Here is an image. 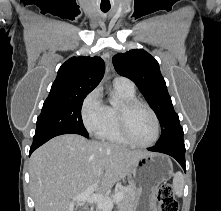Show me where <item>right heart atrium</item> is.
I'll return each instance as SVG.
<instances>
[{
    "label": "right heart atrium",
    "instance_id": "obj_1",
    "mask_svg": "<svg viewBox=\"0 0 221 211\" xmlns=\"http://www.w3.org/2000/svg\"><path fill=\"white\" fill-rule=\"evenodd\" d=\"M80 115L86 130L93 135H99L107 124V106L105 105L101 91L93 89L83 99Z\"/></svg>",
    "mask_w": 221,
    "mask_h": 211
}]
</instances>
